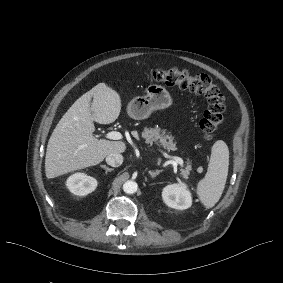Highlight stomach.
<instances>
[{
	"label": "stomach",
	"mask_w": 283,
	"mask_h": 283,
	"mask_svg": "<svg viewBox=\"0 0 283 283\" xmlns=\"http://www.w3.org/2000/svg\"><path fill=\"white\" fill-rule=\"evenodd\" d=\"M172 104L168 91L161 85L152 84L146 88L145 96L132 99L127 106L128 115L135 120L148 118L155 110L164 109Z\"/></svg>",
	"instance_id": "0dacf381"
}]
</instances>
